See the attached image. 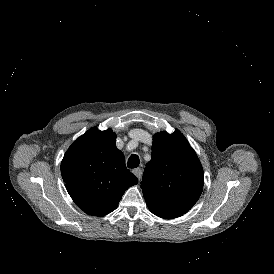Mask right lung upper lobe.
I'll use <instances>...</instances> for the list:
<instances>
[{
    "label": "right lung upper lobe",
    "mask_w": 274,
    "mask_h": 274,
    "mask_svg": "<svg viewBox=\"0 0 274 274\" xmlns=\"http://www.w3.org/2000/svg\"><path fill=\"white\" fill-rule=\"evenodd\" d=\"M111 130L90 129L67 150L61 162L66 189L85 213L104 216L117 208L124 192L138 183L117 149Z\"/></svg>",
    "instance_id": "cb5924a9"
}]
</instances>
